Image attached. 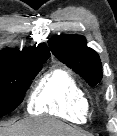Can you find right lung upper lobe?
I'll list each match as a JSON object with an SVG mask.
<instances>
[{
	"instance_id": "1",
	"label": "right lung upper lobe",
	"mask_w": 117,
	"mask_h": 136,
	"mask_svg": "<svg viewBox=\"0 0 117 136\" xmlns=\"http://www.w3.org/2000/svg\"><path fill=\"white\" fill-rule=\"evenodd\" d=\"M50 52L45 44H39L37 47L24 48L22 51L5 49L0 51V62L12 63H30L40 59H48Z\"/></svg>"
}]
</instances>
